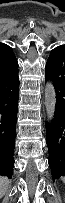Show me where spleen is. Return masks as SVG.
<instances>
[{"label": "spleen", "instance_id": "obj_1", "mask_svg": "<svg viewBox=\"0 0 65 203\" xmlns=\"http://www.w3.org/2000/svg\"><path fill=\"white\" fill-rule=\"evenodd\" d=\"M61 180H62V181H64V180H65V178H64V177H62V178H61Z\"/></svg>", "mask_w": 65, "mask_h": 203}]
</instances>
